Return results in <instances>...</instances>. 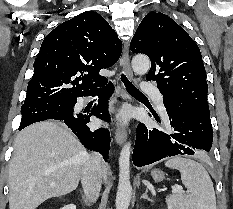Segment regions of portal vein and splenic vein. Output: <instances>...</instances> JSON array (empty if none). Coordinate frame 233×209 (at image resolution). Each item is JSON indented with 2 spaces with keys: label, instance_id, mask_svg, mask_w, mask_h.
<instances>
[{
  "label": "portal vein and splenic vein",
  "instance_id": "obj_1",
  "mask_svg": "<svg viewBox=\"0 0 233 209\" xmlns=\"http://www.w3.org/2000/svg\"><path fill=\"white\" fill-rule=\"evenodd\" d=\"M54 184V183H53ZM182 188L181 187H178V188H174L173 189V193H177V192H182Z\"/></svg>",
  "mask_w": 233,
  "mask_h": 209
}]
</instances>
